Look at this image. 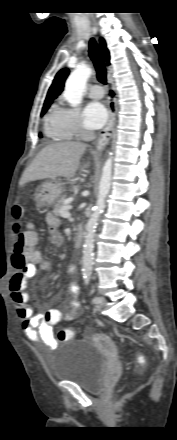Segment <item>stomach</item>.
Returning <instances> with one entry per match:
<instances>
[{
  "instance_id": "obj_1",
  "label": "stomach",
  "mask_w": 177,
  "mask_h": 440,
  "mask_svg": "<svg viewBox=\"0 0 177 440\" xmlns=\"http://www.w3.org/2000/svg\"><path fill=\"white\" fill-rule=\"evenodd\" d=\"M63 184L58 179H52L37 188L34 201L38 208L53 206L60 198Z\"/></svg>"
}]
</instances>
